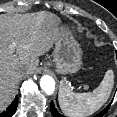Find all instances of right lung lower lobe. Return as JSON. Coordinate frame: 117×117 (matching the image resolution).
<instances>
[{"instance_id":"right-lung-lower-lobe-1","label":"right lung lower lobe","mask_w":117,"mask_h":117,"mask_svg":"<svg viewBox=\"0 0 117 117\" xmlns=\"http://www.w3.org/2000/svg\"><path fill=\"white\" fill-rule=\"evenodd\" d=\"M17 105H18V96L15 97V99L10 104V106L6 109V111L0 114V117H11L15 113Z\"/></svg>"}]
</instances>
